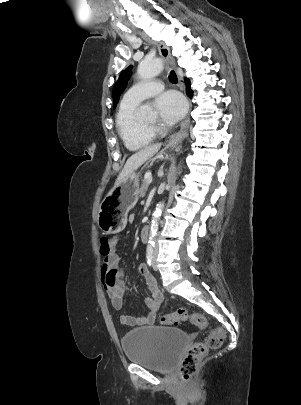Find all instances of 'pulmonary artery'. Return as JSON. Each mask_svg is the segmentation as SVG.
Wrapping results in <instances>:
<instances>
[{"label":"pulmonary artery","instance_id":"e3ab8cb5","mask_svg":"<svg viewBox=\"0 0 301 405\" xmlns=\"http://www.w3.org/2000/svg\"><path fill=\"white\" fill-rule=\"evenodd\" d=\"M164 88L159 80H146L133 85L124 95L123 102L139 104L142 100L151 97Z\"/></svg>","mask_w":301,"mask_h":405}]
</instances>
